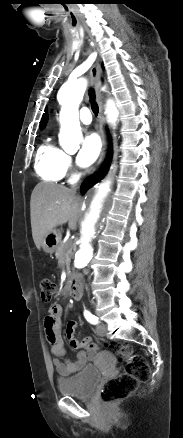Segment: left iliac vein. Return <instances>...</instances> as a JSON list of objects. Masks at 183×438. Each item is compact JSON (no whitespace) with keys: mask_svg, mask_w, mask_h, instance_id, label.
I'll return each mask as SVG.
<instances>
[{"mask_svg":"<svg viewBox=\"0 0 183 438\" xmlns=\"http://www.w3.org/2000/svg\"><path fill=\"white\" fill-rule=\"evenodd\" d=\"M106 326L104 325V324H98L97 325V327H96V333H97V335H99V336H105V334H106Z\"/></svg>","mask_w":183,"mask_h":438,"instance_id":"1","label":"left iliac vein"}]
</instances>
